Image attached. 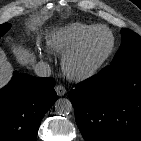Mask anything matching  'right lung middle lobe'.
I'll list each match as a JSON object with an SVG mask.
<instances>
[{
  "instance_id": "1",
  "label": "right lung middle lobe",
  "mask_w": 141,
  "mask_h": 141,
  "mask_svg": "<svg viewBox=\"0 0 141 141\" xmlns=\"http://www.w3.org/2000/svg\"><path fill=\"white\" fill-rule=\"evenodd\" d=\"M10 27H11V25L8 24V23L0 24V37H1L4 33H6Z\"/></svg>"
}]
</instances>
